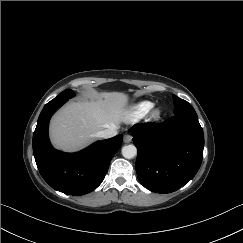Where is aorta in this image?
Instances as JSON below:
<instances>
[{
  "label": "aorta",
  "instance_id": "1",
  "mask_svg": "<svg viewBox=\"0 0 243 243\" xmlns=\"http://www.w3.org/2000/svg\"><path fill=\"white\" fill-rule=\"evenodd\" d=\"M121 152L124 158L132 159L137 155V148L133 144H129L123 146Z\"/></svg>",
  "mask_w": 243,
  "mask_h": 243
}]
</instances>
